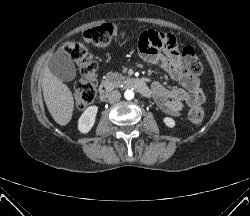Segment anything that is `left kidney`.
<instances>
[{"label":"left kidney","instance_id":"5707ae66","mask_svg":"<svg viewBox=\"0 0 250 216\" xmlns=\"http://www.w3.org/2000/svg\"><path fill=\"white\" fill-rule=\"evenodd\" d=\"M163 122L169 128L175 127V120L173 118H171V117L163 118Z\"/></svg>","mask_w":250,"mask_h":216}]
</instances>
